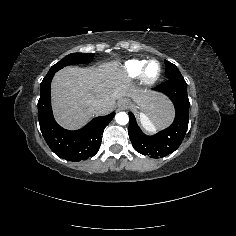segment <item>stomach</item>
Instances as JSON below:
<instances>
[{"instance_id": "0dacf381", "label": "stomach", "mask_w": 236, "mask_h": 236, "mask_svg": "<svg viewBox=\"0 0 236 236\" xmlns=\"http://www.w3.org/2000/svg\"><path fill=\"white\" fill-rule=\"evenodd\" d=\"M151 89H152V87L151 86H149L148 87V91H151ZM124 99H126L127 101H128V106H129V108L130 107H133V102H134V100L133 99H130V98H124Z\"/></svg>"}]
</instances>
